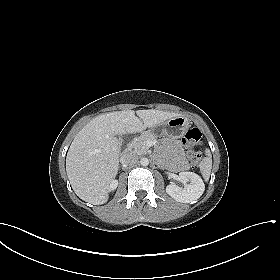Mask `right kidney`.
Wrapping results in <instances>:
<instances>
[{
	"mask_svg": "<svg viewBox=\"0 0 280 280\" xmlns=\"http://www.w3.org/2000/svg\"><path fill=\"white\" fill-rule=\"evenodd\" d=\"M117 185H118V181L113 179L109 185V191L115 190L117 188Z\"/></svg>",
	"mask_w": 280,
	"mask_h": 280,
	"instance_id": "right-kidney-1",
	"label": "right kidney"
}]
</instances>
